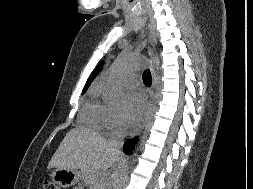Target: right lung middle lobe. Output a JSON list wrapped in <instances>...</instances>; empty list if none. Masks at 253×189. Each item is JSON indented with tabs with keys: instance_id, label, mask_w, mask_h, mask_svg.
<instances>
[{
	"instance_id": "obj_1",
	"label": "right lung middle lobe",
	"mask_w": 253,
	"mask_h": 189,
	"mask_svg": "<svg viewBox=\"0 0 253 189\" xmlns=\"http://www.w3.org/2000/svg\"><path fill=\"white\" fill-rule=\"evenodd\" d=\"M85 92H86V89H85V90H83L82 94H84Z\"/></svg>"
}]
</instances>
